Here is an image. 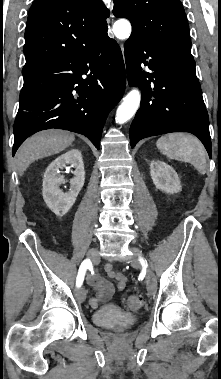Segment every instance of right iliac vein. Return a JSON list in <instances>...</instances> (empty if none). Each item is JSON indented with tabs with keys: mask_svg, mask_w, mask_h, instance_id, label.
<instances>
[{
	"mask_svg": "<svg viewBox=\"0 0 221 379\" xmlns=\"http://www.w3.org/2000/svg\"><path fill=\"white\" fill-rule=\"evenodd\" d=\"M87 256L92 259V261H96L98 258V251L97 249H91L89 250ZM76 297L80 302L85 301L86 299V291L83 287H79L76 290Z\"/></svg>",
	"mask_w": 221,
	"mask_h": 379,
	"instance_id": "right-iliac-vein-1",
	"label": "right iliac vein"
}]
</instances>
